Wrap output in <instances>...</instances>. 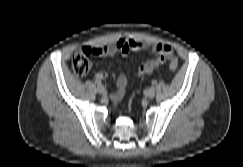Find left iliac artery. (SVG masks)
I'll list each match as a JSON object with an SVG mask.
<instances>
[{
	"label": "left iliac artery",
	"mask_w": 243,
	"mask_h": 167,
	"mask_svg": "<svg viewBox=\"0 0 243 167\" xmlns=\"http://www.w3.org/2000/svg\"><path fill=\"white\" fill-rule=\"evenodd\" d=\"M152 84H153V85H156V84H157V81H156V80H153V81H152Z\"/></svg>",
	"instance_id": "obj_1"
}]
</instances>
